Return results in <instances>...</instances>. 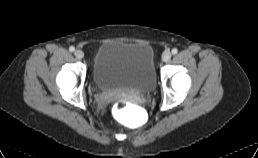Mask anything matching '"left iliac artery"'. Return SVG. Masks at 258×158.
Here are the masks:
<instances>
[{"mask_svg": "<svg viewBox=\"0 0 258 158\" xmlns=\"http://www.w3.org/2000/svg\"><path fill=\"white\" fill-rule=\"evenodd\" d=\"M177 52H178V50H177L176 48H173V49H172V54L175 55V54H177Z\"/></svg>", "mask_w": 258, "mask_h": 158, "instance_id": "1", "label": "left iliac artery"}]
</instances>
